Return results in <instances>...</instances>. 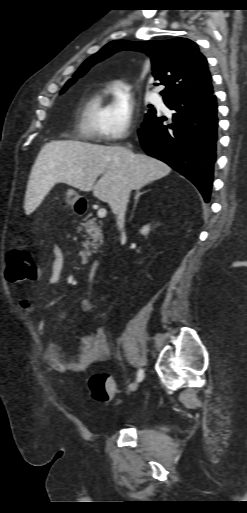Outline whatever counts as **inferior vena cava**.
<instances>
[{
  "label": "inferior vena cava",
  "instance_id": "1",
  "mask_svg": "<svg viewBox=\"0 0 247 513\" xmlns=\"http://www.w3.org/2000/svg\"><path fill=\"white\" fill-rule=\"evenodd\" d=\"M131 187L128 184H124L115 199V202L111 204L113 212L117 215V224L119 227L124 224V217L129 202Z\"/></svg>",
  "mask_w": 247,
  "mask_h": 513
}]
</instances>
